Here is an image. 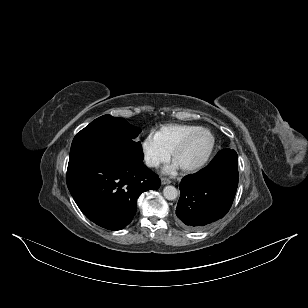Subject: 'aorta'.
Masks as SVG:
<instances>
[{
	"label": "aorta",
	"instance_id": "762f6f07",
	"mask_svg": "<svg viewBox=\"0 0 308 308\" xmlns=\"http://www.w3.org/2000/svg\"><path fill=\"white\" fill-rule=\"evenodd\" d=\"M163 195L167 200H175L178 196V191L174 186H166L163 189Z\"/></svg>",
	"mask_w": 308,
	"mask_h": 308
}]
</instances>
